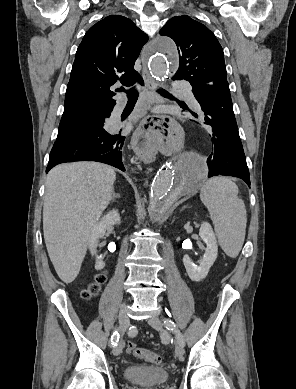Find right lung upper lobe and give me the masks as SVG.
Wrapping results in <instances>:
<instances>
[{
  "instance_id": "cb5924a9",
  "label": "right lung upper lobe",
  "mask_w": 296,
  "mask_h": 389,
  "mask_svg": "<svg viewBox=\"0 0 296 389\" xmlns=\"http://www.w3.org/2000/svg\"><path fill=\"white\" fill-rule=\"evenodd\" d=\"M147 41L148 36L124 16L110 15L92 26L76 52L62 118L110 115L115 105L110 86L142 81L134 64Z\"/></svg>"
}]
</instances>
